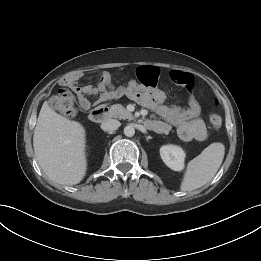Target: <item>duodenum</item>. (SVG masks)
<instances>
[{"label":"duodenum","instance_id":"obj_1","mask_svg":"<svg viewBox=\"0 0 261 261\" xmlns=\"http://www.w3.org/2000/svg\"><path fill=\"white\" fill-rule=\"evenodd\" d=\"M108 116V109L104 106H99L95 109L92 110V112L90 113V120L95 122V123H100L102 121H104ZM153 123L149 122L148 126L149 127H153Z\"/></svg>","mask_w":261,"mask_h":261}]
</instances>
